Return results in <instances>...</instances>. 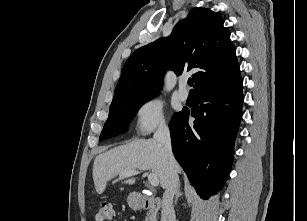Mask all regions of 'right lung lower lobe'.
<instances>
[{
	"label": "right lung lower lobe",
	"mask_w": 307,
	"mask_h": 221,
	"mask_svg": "<svg viewBox=\"0 0 307 221\" xmlns=\"http://www.w3.org/2000/svg\"><path fill=\"white\" fill-rule=\"evenodd\" d=\"M242 79L231 85L195 95L189 111L182 110L170 122L173 153L197 193L204 199L216 194L230 172L234 141L242 117Z\"/></svg>",
	"instance_id": "obj_1"
}]
</instances>
